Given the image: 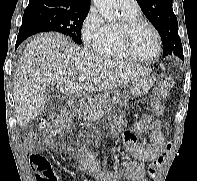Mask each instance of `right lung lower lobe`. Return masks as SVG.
Masks as SVG:
<instances>
[{"mask_svg": "<svg viewBox=\"0 0 197 181\" xmlns=\"http://www.w3.org/2000/svg\"><path fill=\"white\" fill-rule=\"evenodd\" d=\"M37 32L35 30H32L30 28L27 27H23L21 26L20 30H19V34L17 37V41H16V48L29 36L36 34Z\"/></svg>", "mask_w": 197, "mask_h": 181, "instance_id": "right-lung-lower-lobe-1", "label": "right lung lower lobe"}]
</instances>
